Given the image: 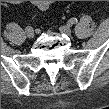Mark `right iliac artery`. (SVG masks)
I'll return each instance as SVG.
<instances>
[{"instance_id":"82829eb1","label":"right iliac artery","mask_w":109,"mask_h":109,"mask_svg":"<svg viewBox=\"0 0 109 109\" xmlns=\"http://www.w3.org/2000/svg\"><path fill=\"white\" fill-rule=\"evenodd\" d=\"M30 29H32L31 26H27V27H26V30H30Z\"/></svg>"}]
</instances>
